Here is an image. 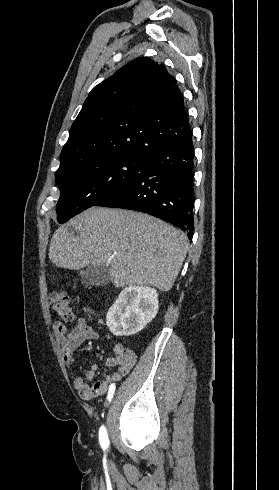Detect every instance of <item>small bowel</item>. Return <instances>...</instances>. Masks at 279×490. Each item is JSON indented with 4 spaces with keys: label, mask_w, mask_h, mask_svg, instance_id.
I'll use <instances>...</instances> for the list:
<instances>
[{
    "label": "small bowel",
    "mask_w": 279,
    "mask_h": 490,
    "mask_svg": "<svg viewBox=\"0 0 279 490\" xmlns=\"http://www.w3.org/2000/svg\"><path fill=\"white\" fill-rule=\"evenodd\" d=\"M53 332L62 348L63 359L67 366L73 364L76 350L85 341L99 338L97 331L83 318H79L73 326L55 322ZM136 361L137 357L131 349L117 343L113 354L107 358V364L116 367L114 372L106 375L103 380L89 385L88 383L94 379L98 370V364L93 363L83 376L74 377L73 386L83 399L102 396L131 371Z\"/></svg>",
    "instance_id": "obj_1"
}]
</instances>
